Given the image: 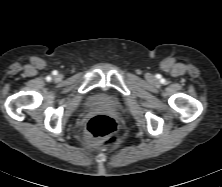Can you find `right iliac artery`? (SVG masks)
Wrapping results in <instances>:
<instances>
[{
	"instance_id": "82829eb1",
	"label": "right iliac artery",
	"mask_w": 222,
	"mask_h": 187,
	"mask_svg": "<svg viewBox=\"0 0 222 187\" xmlns=\"http://www.w3.org/2000/svg\"><path fill=\"white\" fill-rule=\"evenodd\" d=\"M51 78L50 77H47V80H50Z\"/></svg>"
}]
</instances>
